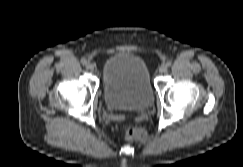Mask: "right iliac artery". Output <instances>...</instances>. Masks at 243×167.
<instances>
[{
    "label": "right iliac artery",
    "mask_w": 243,
    "mask_h": 167,
    "mask_svg": "<svg viewBox=\"0 0 243 167\" xmlns=\"http://www.w3.org/2000/svg\"><path fill=\"white\" fill-rule=\"evenodd\" d=\"M81 63H82L83 65H85V64L87 63V60H86L85 58H82V59H81Z\"/></svg>",
    "instance_id": "right-iliac-artery-1"
}]
</instances>
